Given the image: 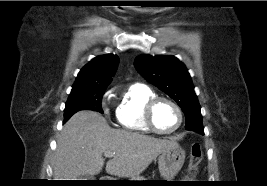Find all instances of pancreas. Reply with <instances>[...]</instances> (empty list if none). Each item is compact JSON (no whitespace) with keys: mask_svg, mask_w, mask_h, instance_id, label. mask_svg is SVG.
<instances>
[{"mask_svg":"<svg viewBox=\"0 0 267 186\" xmlns=\"http://www.w3.org/2000/svg\"><path fill=\"white\" fill-rule=\"evenodd\" d=\"M134 178H136V180H138V181H143V180H145L143 177H140L139 175L135 176Z\"/></svg>","mask_w":267,"mask_h":186,"instance_id":"1","label":"pancreas"}]
</instances>
